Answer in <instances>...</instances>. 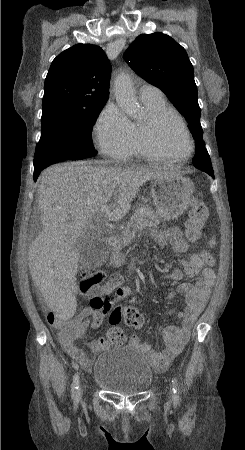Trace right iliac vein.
Segmentation results:
<instances>
[{
	"label": "right iliac vein",
	"instance_id": "1",
	"mask_svg": "<svg viewBox=\"0 0 245 450\" xmlns=\"http://www.w3.org/2000/svg\"><path fill=\"white\" fill-rule=\"evenodd\" d=\"M85 391H86V387L82 384L81 386H80V388H79V394H78V397H82L83 396V394L85 393Z\"/></svg>",
	"mask_w": 245,
	"mask_h": 450
}]
</instances>
